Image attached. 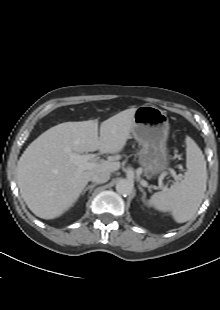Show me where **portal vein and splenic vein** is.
Here are the masks:
<instances>
[{"label": "portal vein and splenic vein", "instance_id": "portal-vein-and-splenic-vein-1", "mask_svg": "<svg viewBox=\"0 0 220 310\" xmlns=\"http://www.w3.org/2000/svg\"><path fill=\"white\" fill-rule=\"evenodd\" d=\"M92 159H94L93 154L79 155L77 153L72 152L70 153V162L77 165L81 170L94 168L97 165V163L90 162ZM171 173L174 176L175 180H179V177L176 175L174 170H172ZM163 189L166 190L167 187H164Z\"/></svg>", "mask_w": 220, "mask_h": 310}]
</instances>
